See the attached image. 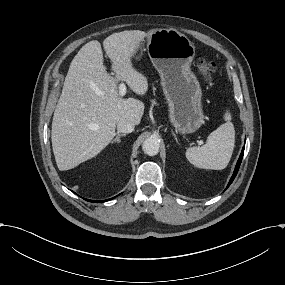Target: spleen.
Listing matches in <instances>:
<instances>
[{
    "label": "spleen",
    "mask_w": 285,
    "mask_h": 285,
    "mask_svg": "<svg viewBox=\"0 0 285 285\" xmlns=\"http://www.w3.org/2000/svg\"><path fill=\"white\" fill-rule=\"evenodd\" d=\"M224 120L226 123L209 134L205 145L186 150L187 160L195 167L213 170L227 167L235 146V129L228 111Z\"/></svg>",
    "instance_id": "3e777b00"
}]
</instances>
